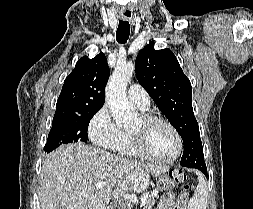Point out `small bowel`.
I'll use <instances>...</instances> for the list:
<instances>
[{
  "mask_svg": "<svg viewBox=\"0 0 253 209\" xmlns=\"http://www.w3.org/2000/svg\"><path fill=\"white\" fill-rule=\"evenodd\" d=\"M157 209H176L173 193L165 195L159 202Z\"/></svg>",
  "mask_w": 253,
  "mask_h": 209,
  "instance_id": "1",
  "label": "small bowel"
}]
</instances>
